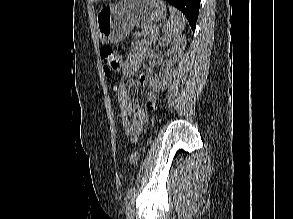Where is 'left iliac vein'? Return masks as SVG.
Wrapping results in <instances>:
<instances>
[{
  "mask_svg": "<svg viewBox=\"0 0 293 219\" xmlns=\"http://www.w3.org/2000/svg\"><path fill=\"white\" fill-rule=\"evenodd\" d=\"M126 216L127 219H134V211L130 202L126 205Z\"/></svg>",
  "mask_w": 293,
  "mask_h": 219,
  "instance_id": "4c4485c4",
  "label": "left iliac vein"
}]
</instances>
